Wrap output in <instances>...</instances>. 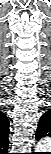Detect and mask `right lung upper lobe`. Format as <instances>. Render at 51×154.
Listing matches in <instances>:
<instances>
[{"instance_id": "1", "label": "right lung upper lobe", "mask_w": 51, "mask_h": 154, "mask_svg": "<svg viewBox=\"0 0 51 154\" xmlns=\"http://www.w3.org/2000/svg\"><path fill=\"white\" fill-rule=\"evenodd\" d=\"M1 117H3L5 130H6V132H8L9 131V129H8V127H9L8 119H7V117L3 113L1 114Z\"/></svg>"}]
</instances>
